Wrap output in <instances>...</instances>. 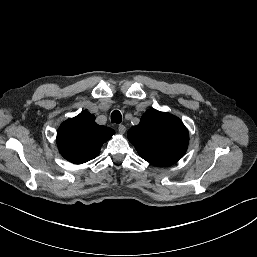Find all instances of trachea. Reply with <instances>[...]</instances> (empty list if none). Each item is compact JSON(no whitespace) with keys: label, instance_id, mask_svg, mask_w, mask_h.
Segmentation results:
<instances>
[{"label":"trachea","instance_id":"trachea-1","mask_svg":"<svg viewBox=\"0 0 257 257\" xmlns=\"http://www.w3.org/2000/svg\"><path fill=\"white\" fill-rule=\"evenodd\" d=\"M111 121L114 123H121L122 115L118 110H114L111 114Z\"/></svg>","mask_w":257,"mask_h":257}]
</instances>
